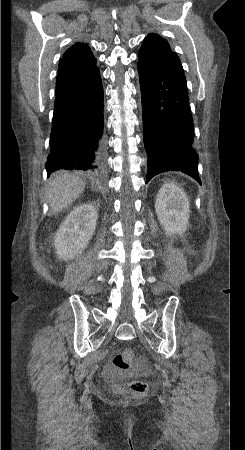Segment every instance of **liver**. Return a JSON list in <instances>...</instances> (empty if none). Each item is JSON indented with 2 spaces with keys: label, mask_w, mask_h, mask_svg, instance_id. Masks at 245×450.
Instances as JSON below:
<instances>
[{
  "label": "liver",
  "mask_w": 245,
  "mask_h": 450,
  "mask_svg": "<svg viewBox=\"0 0 245 450\" xmlns=\"http://www.w3.org/2000/svg\"><path fill=\"white\" fill-rule=\"evenodd\" d=\"M85 182L70 173H59L49 183L47 201L52 214H59L72 204L84 191Z\"/></svg>",
  "instance_id": "6515ba94"
}]
</instances>
